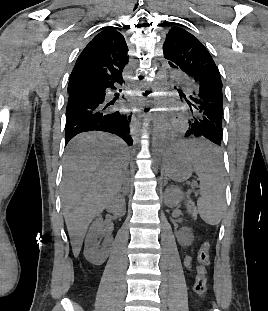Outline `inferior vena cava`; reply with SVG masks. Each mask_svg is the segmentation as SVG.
<instances>
[{"mask_svg":"<svg viewBox=\"0 0 268 311\" xmlns=\"http://www.w3.org/2000/svg\"><path fill=\"white\" fill-rule=\"evenodd\" d=\"M124 184H125V186H126V181L124 182ZM125 192H126V190H125Z\"/></svg>","mask_w":268,"mask_h":311,"instance_id":"1","label":"inferior vena cava"}]
</instances>
